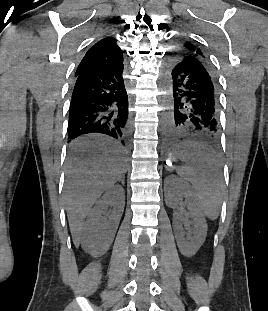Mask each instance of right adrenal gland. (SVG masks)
I'll return each instance as SVG.
<instances>
[{
	"label": "right adrenal gland",
	"instance_id": "1",
	"mask_svg": "<svg viewBox=\"0 0 268 311\" xmlns=\"http://www.w3.org/2000/svg\"><path fill=\"white\" fill-rule=\"evenodd\" d=\"M121 183H122V185H125V180H124V178L121 179Z\"/></svg>",
	"mask_w": 268,
	"mask_h": 311
}]
</instances>
